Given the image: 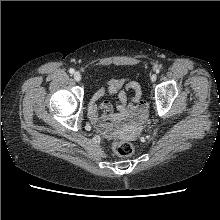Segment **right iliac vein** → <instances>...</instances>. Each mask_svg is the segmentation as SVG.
<instances>
[{
  "instance_id": "1",
  "label": "right iliac vein",
  "mask_w": 220,
  "mask_h": 220,
  "mask_svg": "<svg viewBox=\"0 0 220 220\" xmlns=\"http://www.w3.org/2000/svg\"><path fill=\"white\" fill-rule=\"evenodd\" d=\"M73 76H74V79L77 82L81 81V74H80V72L76 71Z\"/></svg>"
}]
</instances>
